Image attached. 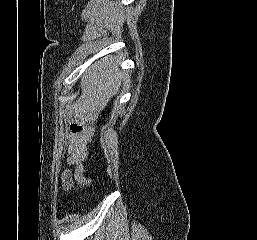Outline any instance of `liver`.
<instances>
[{"instance_id": "liver-1", "label": "liver", "mask_w": 257, "mask_h": 240, "mask_svg": "<svg viewBox=\"0 0 257 240\" xmlns=\"http://www.w3.org/2000/svg\"><path fill=\"white\" fill-rule=\"evenodd\" d=\"M126 72L118 71L114 58H104L88 69L81 79V96L67 107L69 115L84 121L103 110L110 99L117 94Z\"/></svg>"}]
</instances>
